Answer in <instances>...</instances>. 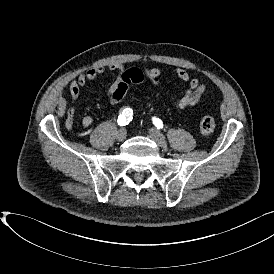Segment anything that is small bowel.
Instances as JSON below:
<instances>
[{
  "mask_svg": "<svg viewBox=\"0 0 274 274\" xmlns=\"http://www.w3.org/2000/svg\"><path fill=\"white\" fill-rule=\"evenodd\" d=\"M105 69L106 68L103 66L90 68L77 78L70 81L69 89L73 103H77L80 93L86 84L96 80L105 72ZM107 69L117 72V79L108 87L106 91V97L110 99L112 98L113 93L118 89L125 69L119 63H110L108 64ZM174 71L176 77L188 85L187 90L182 95L172 99V105L175 110L182 112L199 103L208 94V89L198 78L191 77L184 68L176 67ZM145 73L151 84L154 87H157L163 74L162 69L159 67H150L145 69ZM93 122V117L91 115H86L82 119V127L87 129L92 126Z\"/></svg>",
  "mask_w": 274,
  "mask_h": 274,
  "instance_id": "1",
  "label": "small bowel"
}]
</instances>
